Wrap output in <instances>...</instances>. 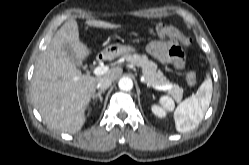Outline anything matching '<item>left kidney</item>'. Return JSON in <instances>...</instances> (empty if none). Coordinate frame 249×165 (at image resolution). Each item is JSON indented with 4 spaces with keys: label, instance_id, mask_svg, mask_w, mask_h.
<instances>
[{
    "label": "left kidney",
    "instance_id": "obj_1",
    "mask_svg": "<svg viewBox=\"0 0 249 165\" xmlns=\"http://www.w3.org/2000/svg\"><path fill=\"white\" fill-rule=\"evenodd\" d=\"M151 110L159 118L166 117V111L162 109L161 107H159L158 105H152Z\"/></svg>",
    "mask_w": 249,
    "mask_h": 165
}]
</instances>
